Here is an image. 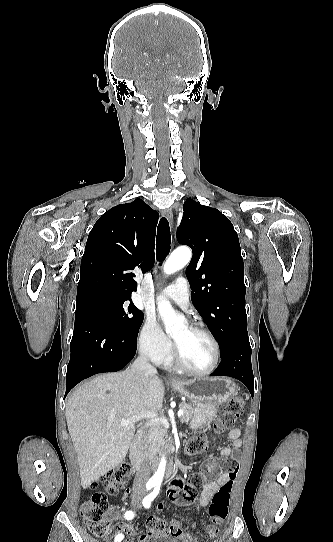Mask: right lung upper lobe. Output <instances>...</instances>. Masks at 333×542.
<instances>
[{
    "label": "right lung upper lobe",
    "mask_w": 333,
    "mask_h": 542,
    "mask_svg": "<svg viewBox=\"0 0 333 542\" xmlns=\"http://www.w3.org/2000/svg\"><path fill=\"white\" fill-rule=\"evenodd\" d=\"M159 214L141 199L104 213L89 233L81 260L76 304L93 294L131 300L137 282L133 271L154 265Z\"/></svg>",
    "instance_id": "obj_1"
}]
</instances>
